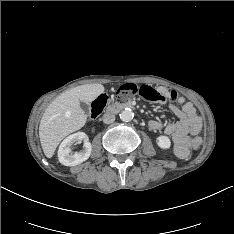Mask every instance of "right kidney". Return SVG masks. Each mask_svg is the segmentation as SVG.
Returning <instances> with one entry per match:
<instances>
[{
    "mask_svg": "<svg viewBox=\"0 0 234 234\" xmlns=\"http://www.w3.org/2000/svg\"><path fill=\"white\" fill-rule=\"evenodd\" d=\"M84 141V147L80 152L71 153L70 147L75 142ZM92 151V146L89 142L88 136L84 132H76L65 138L59 146L58 159L59 162L65 166H76L86 161Z\"/></svg>",
    "mask_w": 234,
    "mask_h": 234,
    "instance_id": "1",
    "label": "right kidney"
}]
</instances>
